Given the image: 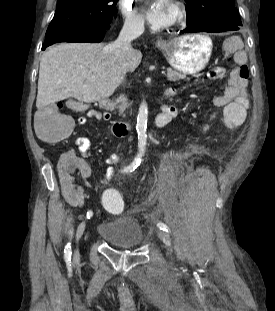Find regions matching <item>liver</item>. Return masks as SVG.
Here are the masks:
<instances>
[{"mask_svg": "<svg viewBox=\"0 0 275 311\" xmlns=\"http://www.w3.org/2000/svg\"><path fill=\"white\" fill-rule=\"evenodd\" d=\"M142 59L140 50L132 49L124 59L116 57L109 44L61 43L41 57L38 110L74 97L93 103L110 97L127 72H133Z\"/></svg>", "mask_w": 275, "mask_h": 311, "instance_id": "obj_1", "label": "liver"}]
</instances>
